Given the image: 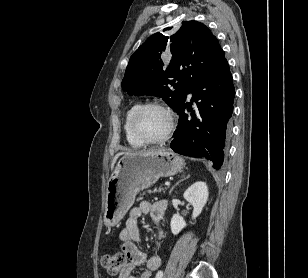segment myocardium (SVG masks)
<instances>
[{
    "label": "myocardium",
    "instance_id": "obj_1",
    "mask_svg": "<svg viewBox=\"0 0 308 278\" xmlns=\"http://www.w3.org/2000/svg\"><path fill=\"white\" fill-rule=\"evenodd\" d=\"M150 108H157L160 109L162 111H164L167 116H168V120H169V125H168V129L165 132V134L160 137V138H149L146 135H144L141 130L138 127V119L140 117V115L150 109ZM130 127L131 130L133 132V134L144 144H151V145H155V144H161L166 142L172 135L174 129H175V120H174V116L172 111L164 104L160 103V102H148V103H144L141 104L131 115L130 118Z\"/></svg>",
    "mask_w": 308,
    "mask_h": 278
}]
</instances>
